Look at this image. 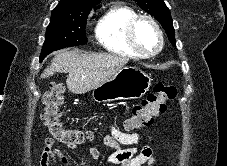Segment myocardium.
I'll return each mask as SVG.
<instances>
[{
    "instance_id": "myocardium-1",
    "label": "myocardium",
    "mask_w": 227,
    "mask_h": 166,
    "mask_svg": "<svg viewBox=\"0 0 227 166\" xmlns=\"http://www.w3.org/2000/svg\"><path fill=\"white\" fill-rule=\"evenodd\" d=\"M141 21L149 22L157 33L158 46L152 52L143 51L140 48L139 44L137 43V40H136V37H135V29H136V26L138 25V23L141 22ZM126 37H127V41L129 43V45L131 46V48L141 57H152V56L157 55L162 50L163 45H164L163 32H162L158 22L153 17H151L149 15H137V16L133 17L129 21V23L126 27Z\"/></svg>"
}]
</instances>
